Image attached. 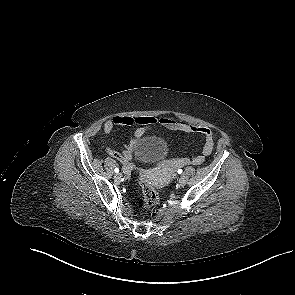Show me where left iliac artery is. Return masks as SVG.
<instances>
[{
	"instance_id": "left-iliac-artery-1",
	"label": "left iliac artery",
	"mask_w": 295,
	"mask_h": 295,
	"mask_svg": "<svg viewBox=\"0 0 295 295\" xmlns=\"http://www.w3.org/2000/svg\"><path fill=\"white\" fill-rule=\"evenodd\" d=\"M178 173L181 174L182 173V169H178Z\"/></svg>"
}]
</instances>
